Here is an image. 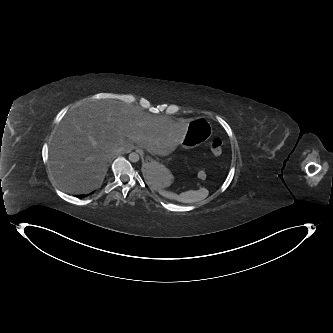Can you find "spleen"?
Returning a JSON list of instances; mask_svg holds the SVG:
<instances>
[{"instance_id": "obj_1", "label": "spleen", "mask_w": 333, "mask_h": 333, "mask_svg": "<svg viewBox=\"0 0 333 333\" xmlns=\"http://www.w3.org/2000/svg\"><path fill=\"white\" fill-rule=\"evenodd\" d=\"M156 191H158L161 195H165L167 199L178 201V202H198L200 200L205 199L208 196V191L206 189H201L198 191H188L185 193H179L175 191L168 190L161 188H154Z\"/></svg>"}]
</instances>
